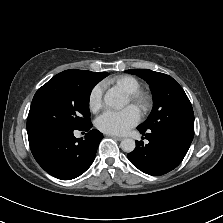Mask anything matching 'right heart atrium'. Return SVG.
I'll return each instance as SVG.
<instances>
[{"instance_id":"right-heart-atrium-1","label":"right heart atrium","mask_w":223,"mask_h":223,"mask_svg":"<svg viewBox=\"0 0 223 223\" xmlns=\"http://www.w3.org/2000/svg\"><path fill=\"white\" fill-rule=\"evenodd\" d=\"M104 85L98 83L92 87L88 96V105L92 112H97L103 106Z\"/></svg>"}]
</instances>
